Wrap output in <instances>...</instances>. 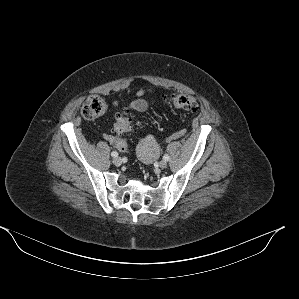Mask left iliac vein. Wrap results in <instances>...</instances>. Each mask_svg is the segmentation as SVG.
<instances>
[{
  "mask_svg": "<svg viewBox=\"0 0 299 299\" xmlns=\"http://www.w3.org/2000/svg\"><path fill=\"white\" fill-rule=\"evenodd\" d=\"M167 165H168V164H167V161H165V160H162V161H160V163H159V167L162 168V169L166 168Z\"/></svg>",
  "mask_w": 299,
  "mask_h": 299,
  "instance_id": "4c4485c4",
  "label": "left iliac vein"
}]
</instances>
